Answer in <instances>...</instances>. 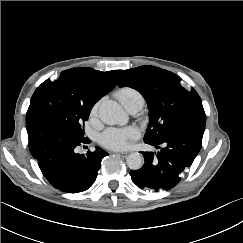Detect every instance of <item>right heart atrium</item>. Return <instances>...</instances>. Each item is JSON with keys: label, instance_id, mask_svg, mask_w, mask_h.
<instances>
[{"label": "right heart atrium", "instance_id": "1", "mask_svg": "<svg viewBox=\"0 0 243 243\" xmlns=\"http://www.w3.org/2000/svg\"><path fill=\"white\" fill-rule=\"evenodd\" d=\"M99 102H96L93 106H92V108H91V110H90V117L91 118H94V117H96L97 116V114H98V109H99Z\"/></svg>", "mask_w": 243, "mask_h": 243}]
</instances>
